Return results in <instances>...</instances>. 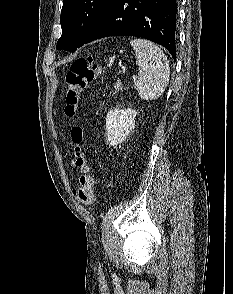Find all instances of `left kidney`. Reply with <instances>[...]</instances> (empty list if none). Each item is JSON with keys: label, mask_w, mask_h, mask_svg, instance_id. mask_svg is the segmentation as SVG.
<instances>
[{"label": "left kidney", "mask_w": 233, "mask_h": 294, "mask_svg": "<svg viewBox=\"0 0 233 294\" xmlns=\"http://www.w3.org/2000/svg\"><path fill=\"white\" fill-rule=\"evenodd\" d=\"M137 112L131 108L112 109L106 116V138L110 146H117L127 139L135 128Z\"/></svg>", "instance_id": "1"}]
</instances>
